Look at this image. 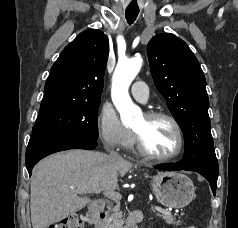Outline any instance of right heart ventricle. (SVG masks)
I'll use <instances>...</instances> for the list:
<instances>
[{
    "label": "right heart ventricle",
    "mask_w": 238,
    "mask_h": 228,
    "mask_svg": "<svg viewBox=\"0 0 238 228\" xmlns=\"http://www.w3.org/2000/svg\"><path fill=\"white\" fill-rule=\"evenodd\" d=\"M133 146H134V139L132 137L131 141L129 142L128 144V147L132 148L133 149Z\"/></svg>",
    "instance_id": "1"
}]
</instances>
